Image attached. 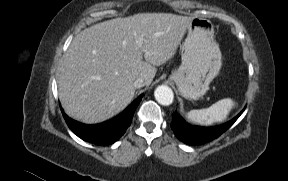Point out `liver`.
Masks as SVG:
<instances>
[{"label": "liver", "mask_w": 288, "mask_h": 181, "mask_svg": "<svg viewBox=\"0 0 288 181\" xmlns=\"http://www.w3.org/2000/svg\"><path fill=\"white\" fill-rule=\"evenodd\" d=\"M191 20L171 13H140L81 31L59 69L58 95L66 114L93 124L120 113L134 97L133 82L143 78L149 86L155 66L175 55Z\"/></svg>", "instance_id": "liver-1"}]
</instances>
